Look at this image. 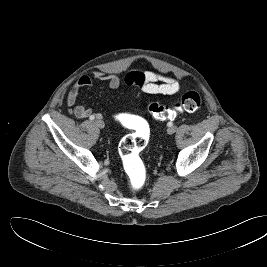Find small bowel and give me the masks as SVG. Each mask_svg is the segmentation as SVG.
Listing matches in <instances>:
<instances>
[{
  "instance_id": "obj_1",
  "label": "small bowel",
  "mask_w": 267,
  "mask_h": 267,
  "mask_svg": "<svg viewBox=\"0 0 267 267\" xmlns=\"http://www.w3.org/2000/svg\"><path fill=\"white\" fill-rule=\"evenodd\" d=\"M96 79L106 83L110 90H116L121 85V79L116 74L97 73ZM125 84L146 93L163 95H173L181 88L176 78L153 71H133L125 77ZM92 86L93 80L89 76H82L68 92L66 104L73 116L77 118L94 116L98 119L103 117L101 113H95L92 109L78 103L79 92Z\"/></svg>"
}]
</instances>
